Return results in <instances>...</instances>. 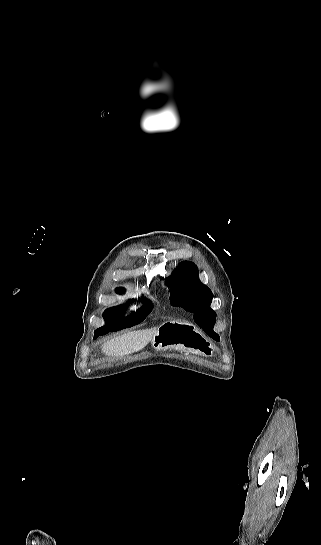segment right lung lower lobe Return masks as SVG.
Listing matches in <instances>:
<instances>
[{
  "instance_id": "obj_1",
  "label": "right lung lower lobe",
  "mask_w": 321,
  "mask_h": 545,
  "mask_svg": "<svg viewBox=\"0 0 321 545\" xmlns=\"http://www.w3.org/2000/svg\"><path fill=\"white\" fill-rule=\"evenodd\" d=\"M125 310V306H121V307H114V308H110V309H107L105 312H104V315H108V316H111L113 318H120L122 317L123 315V312ZM122 328H117L115 331L117 330H120ZM114 331V330H113ZM109 331L108 330H105V329H102V328H99L95 331V337L94 338H97L98 336L100 335H103V334H106L108 333Z\"/></svg>"
}]
</instances>
